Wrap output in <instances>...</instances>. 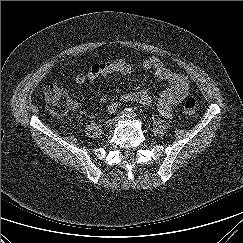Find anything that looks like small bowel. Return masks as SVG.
I'll use <instances>...</instances> for the list:
<instances>
[{
    "label": "small bowel",
    "instance_id": "small-bowel-1",
    "mask_svg": "<svg viewBox=\"0 0 243 243\" xmlns=\"http://www.w3.org/2000/svg\"><path fill=\"white\" fill-rule=\"evenodd\" d=\"M141 68L152 71L153 74L168 83V88L159 95L157 107L161 115L166 118L172 116V107L179 104L190 92V82L187 77L177 71L167 68L157 57H147L141 62ZM132 72V65L126 59L99 62L92 65L87 73L76 76L75 82L79 85L93 83L98 78L107 77L111 74L128 75ZM125 102H136L143 106H150L152 99L145 90H138L121 95L109 107L108 112H114Z\"/></svg>",
    "mask_w": 243,
    "mask_h": 243
}]
</instances>
